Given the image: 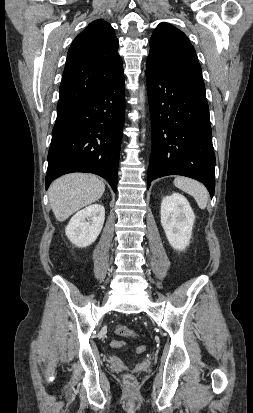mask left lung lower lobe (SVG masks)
<instances>
[{"label":"left lung lower lobe","mask_w":253,"mask_h":413,"mask_svg":"<svg viewBox=\"0 0 253 413\" xmlns=\"http://www.w3.org/2000/svg\"><path fill=\"white\" fill-rule=\"evenodd\" d=\"M147 90L152 123V180L182 175L215 190V154L206 95L171 77L147 60Z\"/></svg>","instance_id":"0a47b994"}]
</instances>
